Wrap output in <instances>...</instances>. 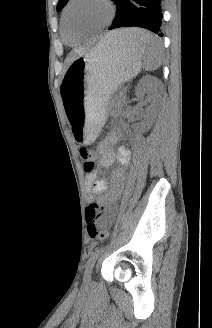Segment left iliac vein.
<instances>
[{
	"label": "left iliac vein",
	"instance_id": "4c4485c4",
	"mask_svg": "<svg viewBox=\"0 0 212 328\" xmlns=\"http://www.w3.org/2000/svg\"><path fill=\"white\" fill-rule=\"evenodd\" d=\"M91 280V273H90V276H89V278H88V281H90Z\"/></svg>",
	"mask_w": 212,
	"mask_h": 328
}]
</instances>
